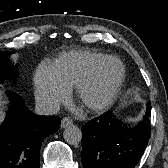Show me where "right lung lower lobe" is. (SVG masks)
<instances>
[{
  "instance_id": "obj_1",
  "label": "right lung lower lobe",
  "mask_w": 168,
  "mask_h": 168,
  "mask_svg": "<svg viewBox=\"0 0 168 168\" xmlns=\"http://www.w3.org/2000/svg\"><path fill=\"white\" fill-rule=\"evenodd\" d=\"M7 117L0 126V168H39L43 140L60 126L56 116H36L13 91Z\"/></svg>"
}]
</instances>
